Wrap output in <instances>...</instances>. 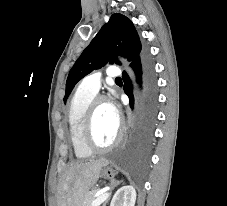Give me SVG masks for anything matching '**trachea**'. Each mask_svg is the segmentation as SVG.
Here are the masks:
<instances>
[{"instance_id": "obj_1", "label": "trachea", "mask_w": 227, "mask_h": 206, "mask_svg": "<svg viewBox=\"0 0 227 206\" xmlns=\"http://www.w3.org/2000/svg\"><path fill=\"white\" fill-rule=\"evenodd\" d=\"M115 80L116 81H121V78L120 77H117Z\"/></svg>"}]
</instances>
